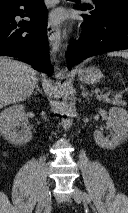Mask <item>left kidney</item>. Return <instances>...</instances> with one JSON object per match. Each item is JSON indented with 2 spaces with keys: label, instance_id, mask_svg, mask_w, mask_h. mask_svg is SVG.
<instances>
[{
  "label": "left kidney",
  "instance_id": "left-kidney-1",
  "mask_svg": "<svg viewBox=\"0 0 128 213\" xmlns=\"http://www.w3.org/2000/svg\"><path fill=\"white\" fill-rule=\"evenodd\" d=\"M107 128L113 132L110 138L104 137L102 131L96 130L94 139L101 148L112 150L128 137V112L123 108H111L107 119Z\"/></svg>",
  "mask_w": 128,
  "mask_h": 213
}]
</instances>
